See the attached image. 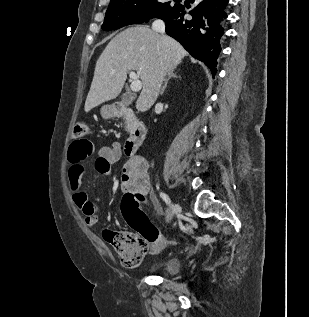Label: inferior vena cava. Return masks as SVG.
Instances as JSON below:
<instances>
[{
	"mask_svg": "<svg viewBox=\"0 0 309 317\" xmlns=\"http://www.w3.org/2000/svg\"><path fill=\"white\" fill-rule=\"evenodd\" d=\"M152 29L163 34L165 32V23L162 20L157 19L152 23Z\"/></svg>",
	"mask_w": 309,
	"mask_h": 317,
	"instance_id": "1",
	"label": "inferior vena cava"
}]
</instances>
